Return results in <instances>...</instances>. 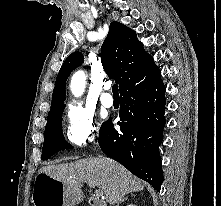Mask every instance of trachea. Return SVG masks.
Instances as JSON below:
<instances>
[{"instance_id":"1","label":"trachea","mask_w":221,"mask_h":206,"mask_svg":"<svg viewBox=\"0 0 221 206\" xmlns=\"http://www.w3.org/2000/svg\"><path fill=\"white\" fill-rule=\"evenodd\" d=\"M112 92H113V96H119V93H118V85H113L112 87Z\"/></svg>"}]
</instances>
